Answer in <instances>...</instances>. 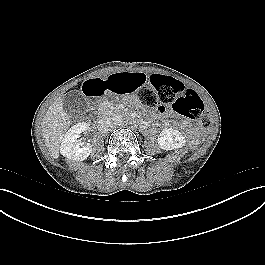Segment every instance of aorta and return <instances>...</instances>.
I'll list each match as a JSON object with an SVG mask.
<instances>
[{"mask_svg":"<svg viewBox=\"0 0 265 265\" xmlns=\"http://www.w3.org/2000/svg\"><path fill=\"white\" fill-rule=\"evenodd\" d=\"M111 119H112V123L114 125H117V126L118 125H122L123 122H124L123 115L122 114H119V113L113 114Z\"/></svg>","mask_w":265,"mask_h":265,"instance_id":"1","label":"aorta"}]
</instances>
